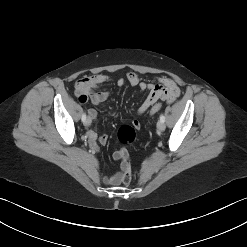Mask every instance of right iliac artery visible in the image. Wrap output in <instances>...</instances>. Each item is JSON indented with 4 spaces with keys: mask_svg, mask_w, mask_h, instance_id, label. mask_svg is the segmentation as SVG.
<instances>
[{
    "mask_svg": "<svg viewBox=\"0 0 247 247\" xmlns=\"http://www.w3.org/2000/svg\"><path fill=\"white\" fill-rule=\"evenodd\" d=\"M81 119H82L83 122L86 120V113L82 114V118Z\"/></svg>",
    "mask_w": 247,
    "mask_h": 247,
    "instance_id": "right-iliac-artery-1",
    "label": "right iliac artery"
}]
</instances>
